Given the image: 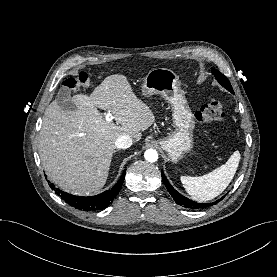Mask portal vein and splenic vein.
<instances>
[{
    "mask_svg": "<svg viewBox=\"0 0 277 277\" xmlns=\"http://www.w3.org/2000/svg\"><path fill=\"white\" fill-rule=\"evenodd\" d=\"M106 120L111 122L113 119H116L110 112H107L106 114Z\"/></svg>",
    "mask_w": 277,
    "mask_h": 277,
    "instance_id": "portal-vein-and-splenic-vein-1",
    "label": "portal vein and splenic vein"
}]
</instances>
